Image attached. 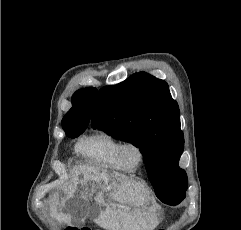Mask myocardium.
<instances>
[{
	"instance_id": "obj_1",
	"label": "myocardium",
	"mask_w": 241,
	"mask_h": 230,
	"mask_svg": "<svg viewBox=\"0 0 241 230\" xmlns=\"http://www.w3.org/2000/svg\"><path fill=\"white\" fill-rule=\"evenodd\" d=\"M131 149H135L139 154V160L136 165H132L127 159V153ZM119 154H120L121 161L126 166V168L130 171L137 170L138 168H140L146 159L145 148L136 139H127V140L122 141V143L120 145Z\"/></svg>"
}]
</instances>
